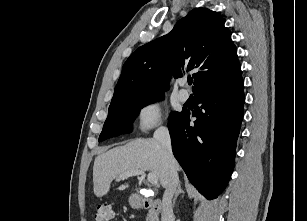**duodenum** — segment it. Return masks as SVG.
I'll list each match as a JSON object with an SVG mask.
<instances>
[{
    "label": "duodenum",
    "instance_id": "obj_1",
    "mask_svg": "<svg viewBox=\"0 0 307 221\" xmlns=\"http://www.w3.org/2000/svg\"><path fill=\"white\" fill-rule=\"evenodd\" d=\"M136 206L140 209H148L150 213V221H159V215L162 209V201L160 199L136 198Z\"/></svg>",
    "mask_w": 307,
    "mask_h": 221
}]
</instances>
